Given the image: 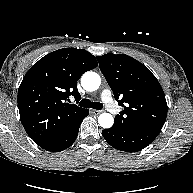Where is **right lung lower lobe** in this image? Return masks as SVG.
Instances as JSON below:
<instances>
[{
    "label": "right lung lower lobe",
    "instance_id": "obj_1",
    "mask_svg": "<svg viewBox=\"0 0 193 193\" xmlns=\"http://www.w3.org/2000/svg\"><path fill=\"white\" fill-rule=\"evenodd\" d=\"M88 114L89 110H85V112L72 125H70L67 130L43 149L52 152H60L70 147L77 138L81 122Z\"/></svg>",
    "mask_w": 193,
    "mask_h": 193
}]
</instances>
